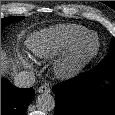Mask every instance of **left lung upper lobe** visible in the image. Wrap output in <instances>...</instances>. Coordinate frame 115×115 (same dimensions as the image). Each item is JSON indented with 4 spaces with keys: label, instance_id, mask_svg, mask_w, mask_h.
Here are the masks:
<instances>
[{
    "label": "left lung upper lobe",
    "instance_id": "obj_1",
    "mask_svg": "<svg viewBox=\"0 0 115 115\" xmlns=\"http://www.w3.org/2000/svg\"><path fill=\"white\" fill-rule=\"evenodd\" d=\"M115 66V38L111 40L108 55L97 65L98 68Z\"/></svg>",
    "mask_w": 115,
    "mask_h": 115
}]
</instances>
